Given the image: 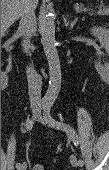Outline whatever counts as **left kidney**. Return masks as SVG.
<instances>
[{"label":"left kidney","mask_w":109,"mask_h":170,"mask_svg":"<svg viewBox=\"0 0 109 170\" xmlns=\"http://www.w3.org/2000/svg\"><path fill=\"white\" fill-rule=\"evenodd\" d=\"M92 34L99 39L100 44L103 48L106 49V51L109 50V34L108 31L105 28L102 27H93L91 29ZM102 55V54H100ZM95 68L97 72L101 76H107L109 73V63L105 62L104 64H101V62H97L95 64Z\"/></svg>","instance_id":"5707ae66"}]
</instances>
